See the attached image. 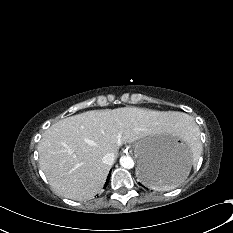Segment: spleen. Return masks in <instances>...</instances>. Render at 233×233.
<instances>
[{"instance_id":"3e777b00","label":"spleen","mask_w":233,"mask_h":233,"mask_svg":"<svg viewBox=\"0 0 233 233\" xmlns=\"http://www.w3.org/2000/svg\"><path fill=\"white\" fill-rule=\"evenodd\" d=\"M174 131L178 135H180L181 137H183L189 143V145L192 147L193 156L197 157L198 154H199L198 153V145H199L198 134H199V129L196 126V124L190 119V117L185 116L184 120L181 121V122H179L177 124V126H175ZM188 174H187V176H188ZM187 176L185 178H182L179 181L175 182L173 185H171L169 187L154 188V189H156V190H170V189H174L181 182H183L187 178Z\"/></svg>"}]
</instances>
